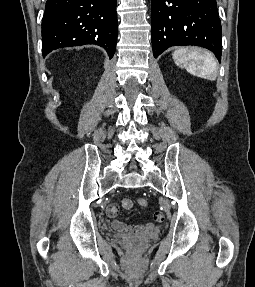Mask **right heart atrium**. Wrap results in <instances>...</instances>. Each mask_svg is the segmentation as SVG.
I'll use <instances>...</instances> for the list:
<instances>
[{"mask_svg":"<svg viewBox=\"0 0 255 287\" xmlns=\"http://www.w3.org/2000/svg\"><path fill=\"white\" fill-rule=\"evenodd\" d=\"M127 33H140V32H127ZM128 39H138V38H128Z\"/></svg>","mask_w":255,"mask_h":287,"instance_id":"d8ad5b80","label":"right heart atrium"}]
</instances>
